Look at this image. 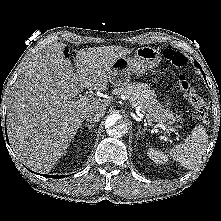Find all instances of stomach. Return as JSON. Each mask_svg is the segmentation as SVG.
Segmentation results:
<instances>
[{
	"mask_svg": "<svg viewBox=\"0 0 221 221\" xmlns=\"http://www.w3.org/2000/svg\"><path fill=\"white\" fill-rule=\"evenodd\" d=\"M161 54L154 47H140L135 50L134 56L118 58L110 69L109 80L114 85L128 82L132 74L142 75L157 67L161 61ZM144 90L154 94L148 85L142 84Z\"/></svg>",
	"mask_w": 221,
	"mask_h": 221,
	"instance_id": "stomach-1",
	"label": "stomach"
}]
</instances>
